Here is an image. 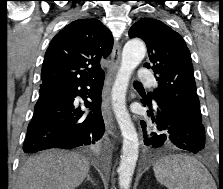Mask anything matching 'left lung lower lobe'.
<instances>
[{
  "label": "left lung lower lobe",
  "mask_w": 223,
  "mask_h": 189,
  "mask_svg": "<svg viewBox=\"0 0 223 189\" xmlns=\"http://www.w3.org/2000/svg\"><path fill=\"white\" fill-rule=\"evenodd\" d=\"M143 104L150 109L147 112L151 126L141 122L144 144L149 149L171 143L192 153L204 149L205 129L202 123L172 114L157 104L152 105L147 99Z\"/></svg>",
  "instance_id": "obj_1"
}]
</instances>
